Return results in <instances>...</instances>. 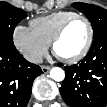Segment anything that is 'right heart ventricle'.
Listing matches in <instances>:
<instances>
[{
  "label": "right heart ventricle",
  "mask_w": 107,
  "mask_h": 107,
  "mask_svg": "<svg viewBox=\"0 0 107 107\" xmlns=\"http://www.w3.org/2000/svg\"><path fill=\"white\" fill-rule=\"evenodd\" d=\"M76 14L73 11H57L31 20L30 27L41 40L49 45L62 23Z\"/></svg>",
  "instance_id": "obj_1"
}]
</instances>
